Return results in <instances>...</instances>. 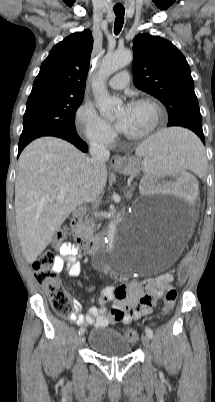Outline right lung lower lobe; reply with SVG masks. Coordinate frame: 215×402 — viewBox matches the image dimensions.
<instances>
[{
	"label": "right lung lower lobe",
	"instance_id": "1",
	"mask_svg": "<svg viewBox=\"0 0 215 402\" xmlns=\"http://www.w3.org/2000/svg\"><path fill=\"white\" fill-rule=\"evenodd\" d=\"M56 137H59V138H62V139H65V140L71 142L72 144H74L77 148H79L83 152H87V150H88L87 144L79 138L77 133H66V134L58 135ZM25 146L26 145H22V146L19 145L18 155L20 154V152L23 150V148Z\"/></svg>",
	"mask_w": 215,
	"mask_h": 402
}]
</instances>
